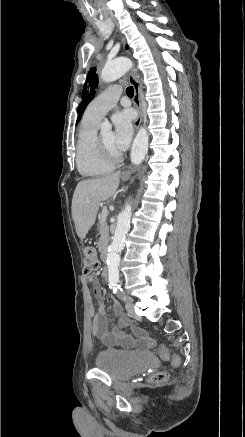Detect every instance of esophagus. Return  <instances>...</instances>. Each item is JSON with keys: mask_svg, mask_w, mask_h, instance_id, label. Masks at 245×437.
Segmentation results:
<instances>
[{"mask_svg": "<svg viewBox=\"0 0 245 437\" xmlns=\"http://www.w3.org/2000/svg\"><path fill=\"white\" fill-rule=\"evenodd\" d=\"M122 41L124 42L123 38H122ZM128 80L134 89L133 103H134V106L136 107V110L138 113L137 119L135 121V128L138 129L140 124H141V121H142L141 87H140V84H139L137 78L131 72L128 74Z\"/></svg>", "mask_w": 245, "mask_h": 437, "instance_id": "esophagus-1", "label": "esophagus"}]
</instances>
